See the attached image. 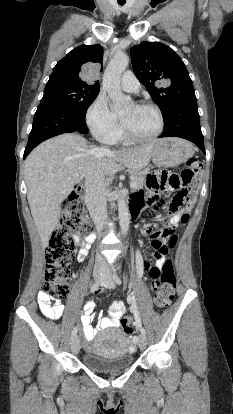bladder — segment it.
I'll use <instances>...</instances> for the list:
<instances>
[{
  "instance_id": "obj_1",
  "label": "bladder",
  "mask_w": 233,
  "mask_h": 414,
  "mask_svg": "<svg viewBox=\"0 0 233 414\" xmlns=\"http://www.w3.org/2000/svg\"><path fill=\"white\" fill-rule=\"evenodd\" d=\"M126 334L117 328L100 332L94 340L91 351L82 357L83 364L97 372H111L126 369L133 364Z\"/></svg>"
}]
</instances>
